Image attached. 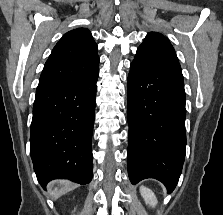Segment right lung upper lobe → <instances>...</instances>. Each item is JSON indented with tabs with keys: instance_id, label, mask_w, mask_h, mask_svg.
<instances>
[{
	"instance_id": "right-lung-upper-lobe-1",
	"label": "right lung upper lobe",
	"mask_w": 223,
	"mask_h": 215,
	"mask_svg": "<svg viewBox=\"0 0 223 215\" xmlns=\"http://www.w3.org/2000/svg\"><path fill=\"white\" fill-rule=\"evenodd\" d=\"M99 67L97 45L86 28L71 30L55 45L45 63L36 93L81 80Z\"/></svg>"
}]
</instances>
